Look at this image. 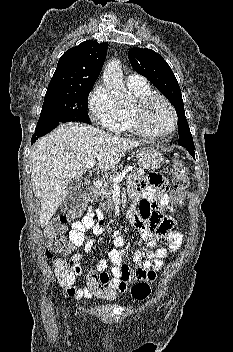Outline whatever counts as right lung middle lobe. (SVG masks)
Instances as JSON below:
<instances>
[{
  "label": "right lung middle lobe",
  "mask_w": 233,
  "mask_h": 352,
  "mask_svg": "<svg viewBox=\"0 0 233 352\" xmlns=\"http://www.w3.org/2000/svg\"><path fill=\"white\" fill-rule=\"evenodd\" d=\"M92 88L93 85L47 89L35 130L74 119L90 121L87 107L88 96Z\"/></svg>",
  "instance_id": "1"
}]
</instances>
